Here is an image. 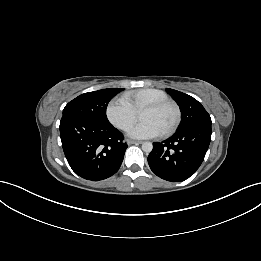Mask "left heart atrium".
I'll return each mask as SVG.
<instances>
[{
	"label": "left heart atrium",
	"mask_w": 261,
	"mask_h": 261,
	"mask_svg": "<svg viewBox=\"0 0 261 261\" xmlns=\"http://www.w3.org/2000/svg\"><path fill=\"white\" fill-rule=\"evenodd\" d=\"M163 134V130L153 121L143 120L133 125L128 135L139 139L155 138Z\"/></svg>",
	"instance_id": "39dd6f15"
}]
</instances>
